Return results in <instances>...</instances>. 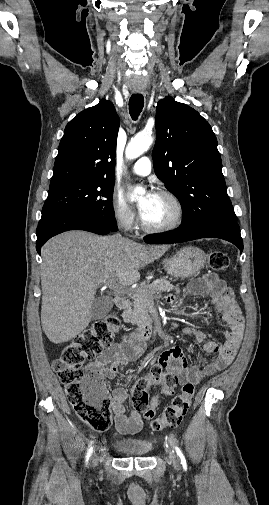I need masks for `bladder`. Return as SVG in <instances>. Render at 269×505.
Segmentation results:
<instances>
[{
	"mask_svg": "<svg viewBox=\"0 0 269 505\" xmlns=\"http://www.w3.org/2000/svg\"><path fill=\"white\" fill-rule=\"evenodd\" d=\"M113 447L119 454L132 457H145L153 449V445L150 442L129 440L116 441Z\"/></svg>",
	"mask_w": 269,
	"mask_h": 505,
	"instance_id": "bladder-1",
	"label": "bladder"
}]
</instances>
